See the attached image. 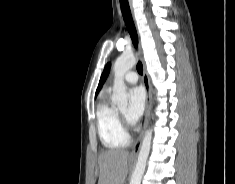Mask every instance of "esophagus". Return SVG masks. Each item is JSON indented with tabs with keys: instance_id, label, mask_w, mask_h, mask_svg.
Returning <instances> with one entry per match:
<instances>
[{
	"instance_id": "1",
	"label": "esophagus",
	"mask_w": 235,
	"mask_h": 184,
	"mask_svg": "<svg viewBox=\"0 0 235 184\" xmlns=\"http://www.w3.org/2000/svg\"><path fill=\"white\" fill-rule=\"evenodd\" d=\"M128 1H129L130 9H131L132 14H133L132 1L131 0H128ZM139 56H140V59H141L142 64H143V84H144V87L146 89V108H145V120H144L143 130H142L141 134L139 135V137L137 138V140H136V142L133 146V149L130 153L131 157L132 156H137L138 153H139L140 146H141V143H142V139H143V136H144V132H145V129H146V127L148 125V121H149L150 104H151L150 80H149V76H148V73H147V70H146V64H145L141 49L139 50Z\"/></svg>"
}]
</instances>
